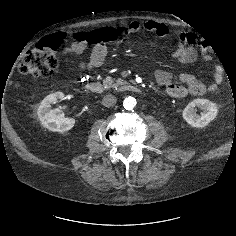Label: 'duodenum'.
<instances>
[{"label": "duodenum", "mask_w": 236, "mask_h": 236, "mask_svg": "<svg viewBox=\"0 0 236 236\" xmlns=\"http://www.w3.org/2000/svg\"><path fill=\"white\" fill-rule=\"evenodd\" d=\"M86 89L94 94H101L104 91V86L97 81H92L87 84ZM120 90L123 92H139L140 88L133 84H124L120 87Z\"/></svg>", "instance_id": "1"}]
</instances>
